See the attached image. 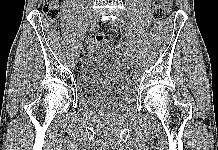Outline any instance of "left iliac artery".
<instances>
[{
  "mask_svg": "<svg viewBox=\"0 0 218 150\" xmlns=\"http://www.w3.org/2000/svg\"><path fill=\"white\" fill-rule=\"evenodd\" d=\"M125 32V34L127 35V38H126V46H129V48H127V53L128 54V57L130 58L128 61L131 63L133 60L131 59L133 57V49H134V46H131L134 42L131 40V37H132V33L129 30H127L126 28L123 30Z\"/></svg>",
  "mask_w": 218,
  "mask_h": 150,
  "instance_id": "left-iliac-artery-1",
  "label": "left iliac artery"
}]
</instances>
